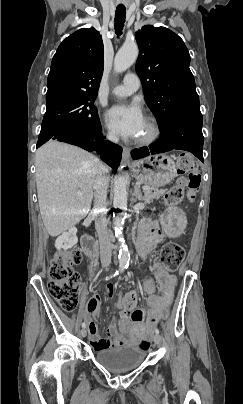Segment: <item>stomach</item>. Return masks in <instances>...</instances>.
I'll list each match as a JSON object with an SVG mask.
<instances>
[{
	"label": "stomach",
	"instance_id": "stomach-1",
	"mask_svg": "<svg viewBox=\"0 0 243 404\" xmlns=\"http://www.w3.org/2000/svg\"><path fill=\"white\" fill-rule=\"evenodd\" d=\"M135 178L142 184L161 187L177 176L174 160L166 154H157L136 161L132 165ZM165 231L170 236L180 235L186 226V217L180 209L170 208L161 218Z\"/></svg>",
	"mask_w": 243,
	"mask_h": 404
}]
</instances>
